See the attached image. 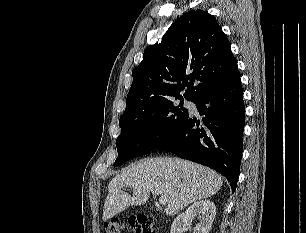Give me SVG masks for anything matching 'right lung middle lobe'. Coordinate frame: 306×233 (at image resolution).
<instances>
[{
    "label": "right lung middle lobe",
    "instance_id": "right-lung-middle-lobe-1",
    "mask_svg": "<svg viewBox=\"0 0 306 233\" xmlns=\"http://www.w3.org/2000/svg\"><path fill=\"white\" fill-rule=\"evenodd\" d=\"M176 99H180L178 106L167 99L120 117L121 135L116 140L118 157L114 166L155 149L183 124L188 110L182 98Z\"/></svg>",
    "mask_w": 306,
    "mask_h": 233
}]
</instances>
